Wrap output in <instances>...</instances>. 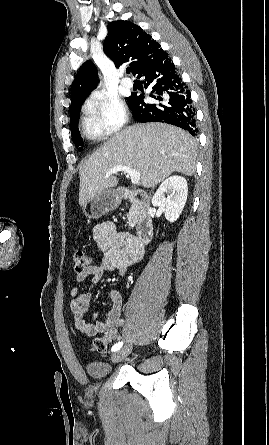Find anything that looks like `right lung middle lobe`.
Instances as JSON below:
<instances>
[{"label":"right lung middle lobe","mask_w":269,"mask_h":445,"mask_svg":"<svg viewBox=\"0 0 269 445\" xmlns=\"http://www.w3.org/2000/svg\"><path fill=\"white\" fill-rule=\"evenodd\" d=\"M130 97L127 98V101L129 103ZM83 102L74 105L70 108V128H71V134L72 138L74 140L75 145L81 146L79 150H82V146L84 145V142L81 138L79 129H78V116H79V110Z\"/></svg>","instance_id":"obj_1"}]
</instances>
